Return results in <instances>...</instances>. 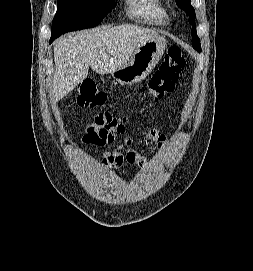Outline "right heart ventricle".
I'll list each match as a JSON object with an SVG mask.
<instances>
[{"label":"right heart ventricle","mask_w":253,"mask_h":271,"mask_svg":"<svg viewBox=\"0 0 253 271\" xmlns=\"http://www.w3.org/2000/svg\"><path fill=\"white\" fill-rule=\"evenodd\" d=\"M129 13L142 21L156 26L165 25L168 12L162 0H126Z\"/></svg>","instance_id":"e07e8e85"}]
</instances>
